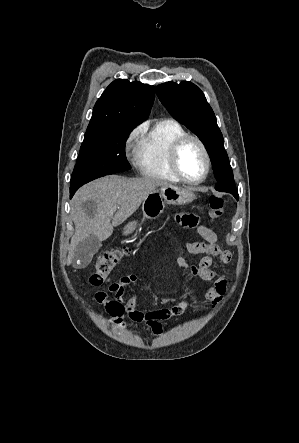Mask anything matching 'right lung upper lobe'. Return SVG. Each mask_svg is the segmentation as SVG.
Here are the masks:
<instances>
[{"mask_svg":"<svg viewBox=\"0 0 299 443\" xmlns=\"http://www.w3.org/2000/svg\"><path fill=\"white\" fill-rule=\"evenodd\" d=\"M155 88L127 79L113 81L94 106L86 134L119 126H136L146 120Z\"/></svg>","mask_w":299,"mask_h":443,"instance_id":"obj_1","label":"right lung upper lobe"}]
</instances>
